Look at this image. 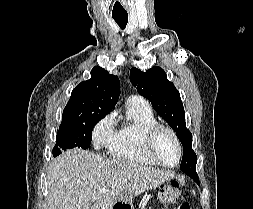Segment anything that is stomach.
Segmentation results:
<instances>
[{
    "mask_svg": "<svg viewBox=\"0 0 253 209\" xmlns=\"http://www.w3.org/2000/svg\"><path fill=\"white\" fill-rule=\"evenodd\" d=\"M123 186H132V190H144V185L142 181H123ZM153 184V183H152ZM159 187H156V192H161L160 198L164 202L167 200V192L170 189V186L166 183H159ZM128 188V187H126ZM120 196H116L115 204L111 209H135V206H132L131 202V191H120Z\"/></svg>",
    "mask_w": 253,
    "mask_h": 209,
    "instance_id": "1",
    "label": "stomach"
}]
</instances>
